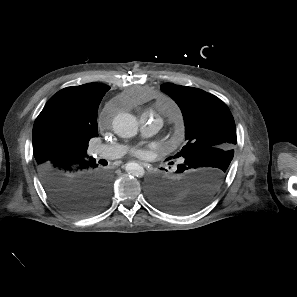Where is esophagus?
Instances as JSON below:
<instances>
[{
  "label": "esophagus",
  "instance_id": "34e87169",
  "mask_svg": "<svg viewBox=\"0 0 297 297\" xmlns=\"http://www.w3.org/2000/svg\"><path fill=\"white\" fill-rule=\"evenodd\" d=\"M139 164H141L142 166H144L146 169L150 170V164L148 163H145V162H142V161H139Z\"/></svg>",
  "mask_w": 297,
  "mask_h": 297
}]
</instances>
